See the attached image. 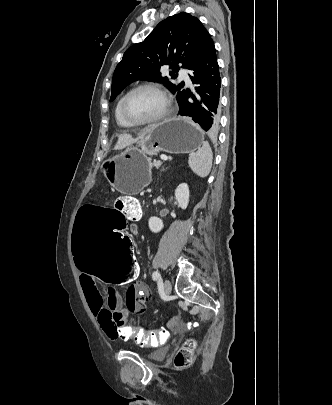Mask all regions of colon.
<instances>
[{
  "label": "colon",
  "mask_w": 332,
  "mask_h": 405,
  "mask_svg": "<svg viewBox=\"0 0 332 405\" xmlns=\"http://www.w3.org/2000/svg\"><path fill=\"white\" fill-rule=\"evenodd\" d=\"M115 207L117 211L113 205L84 202L78 220H72L74 257L82 275H96L107 287H129L130 281L137 280L139 266L133 253L134 234L126 233L125 217L140 212L141 205L136 198L122 195ZM148 321L152 324L155 320L151 317ZM144 327L130 322L128 329H118L117 336L121 342H135L140 351H159L168 339L169 325H155L153 330ZM195 348L196 342L187 340L175 356V365H189Z\"/></svg>",
  "instance_id": "colon-1"
}]
</instances>
